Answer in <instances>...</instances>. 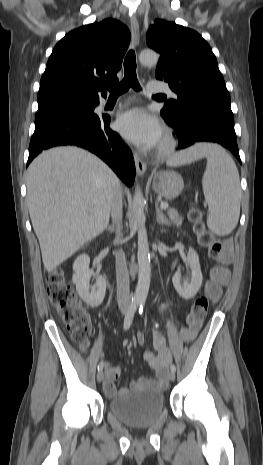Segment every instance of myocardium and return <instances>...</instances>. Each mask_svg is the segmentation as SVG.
<instances>
[{
  "mask_svg": "<svg viewBox=\"0 0 263 465\" xmlns=\"http://www.w3.org/2000/svg\"><path fill=\"white\" fill-rule=\"evenodd\" d=\"M175 146L176 141L173 134L170 131H165L157 146L156 154L159 157H166L174 151Z\"/></svg>",
  "mask_w": 263,
  "mask_h": 465,
  "instance_id": "1",
  "label": "myocardium"
}]
</instances>
